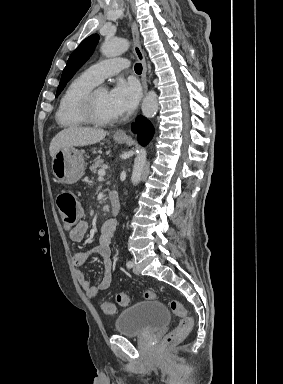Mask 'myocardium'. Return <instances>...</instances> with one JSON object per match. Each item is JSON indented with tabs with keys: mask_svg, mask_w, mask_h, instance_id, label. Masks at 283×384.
Here are the masks:
<instances>
[{
	"mask_svg": "<svg viewBox=\"0 0 283 384\" xmlns=\"http://www.w3.org/2000/svg\"><path fill=\"white\" fill-rule=\"evenodd\" d=\"M100 88L103 87H92L79 99L76 106V113L78 117L86 124L107 127L115 124L117 122V118L112 120H105L97 115L95 110V95Z\"/></svg>",
	"mask_w": 283,
	"mask_h": 384,
	"instance_id": "1",
	"label": "myocardium"
}]
</instances>
